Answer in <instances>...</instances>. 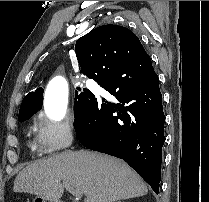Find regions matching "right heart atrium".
<instances>
[{"mask_svg":"<svg viewBox=\"0 0 209 202\" xmlns=\"http://www.w3.org/2000/svg\"><path fill=\"white\" fill-rule=\"evenodd\" d=\"M75 128L69 119L52 121L40 116L35 127L37 148L43 153H56L68 148L74 140Z\"/></svg>","mask_w":209,"mask_h":202,"instance_id":"1","label":"right heart atrium"}]
</instances>
